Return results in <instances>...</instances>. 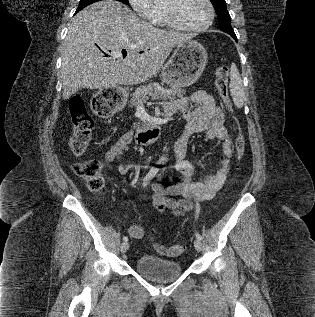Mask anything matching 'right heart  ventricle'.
<instances>
[{"label":"right heart ventricle","mask_w":315,"mask_h":317,"mask_svg":"<svg viewBox=\"0 0 315 317\" xmlns=\"http://www.w3.org/2000/svg\"><path fill=\"white\" fill-rule=\"evenodd\" d=\"M154 23L160 26L168 25L163 9L158 8V14L154 20Z\"/></svg>","instance_id":"1"}]
</instances>
